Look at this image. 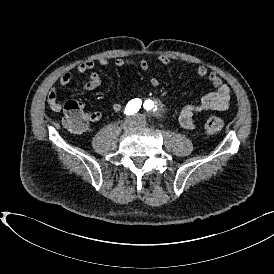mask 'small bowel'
Masks as SVG:
<instances>
[{"mask_svg": "<svg viewBox=\"0 0 274 274\" xmlns=\"http://www.w3.org/2000/svg\"><path fill=\"white\" fill-rule=\"evenodd\" d=\"M158 60L163 65H169L171 63V59L164 54L160 55ZM97 65L108 67L111 65V61L107 58H99L97 61L87 60L80 63L76 68L78 74L89 72L88 80L82 85V88L86 91H93L99 88L102 84L100 74L94 70ZM114 65L118 68L138 66L142 71H148L150 69V62L146 58L141 59L138 63L127 58H117L114 60ZM196 72L200 78H207L209 84L214 88V91L206 94L196 103L185 104L178 108L180 125L187 130H193L195 128V115L213 110H225L228 108L231 98L230 88L223 82L222 78L216 72L209 71L205 65H199ZM71 80L72 74L66 72L60 77L59 85L65 87L71 82ZM148 82L149 85L154 88H157L160 84L159 80L154 77L150 78ZM47 101L53 111L59 112L62 110V104L57 101V92L55 88L49 90ZM111 108L117 113L123 111V105L120 103H113ZM88 116L89 121L87 123L86 131H88L92 125L101 121L102 113L100 111H92L88 113Z\"/></svg>", "mask_w": 274, "mask_h": 274, "instance_id": "small-bowel-1", "label": "small bowel"}]
</instances>
